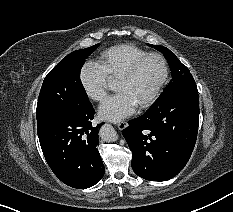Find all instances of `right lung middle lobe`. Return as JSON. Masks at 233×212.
<instances>
[{"mask_svg": "<svg viewBox=\"0 0 233 212\" xmlns=\"http://www.w3.org/2000/svg\"><path fill=\"white\" fill-rule=\"evenodd\" d=\"M98 46L96 44L68 54L45 77L36 109L37 130L61 116L91 105L80 80V71L86 58Z\"/></svg>", "mask_w": 233, "mask_h": 212, "instance_id": "right-lung-middle-lobe-1", "label": "right lung middle lobe"}]
</instances>
